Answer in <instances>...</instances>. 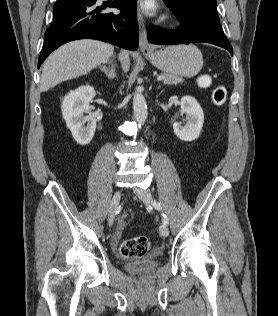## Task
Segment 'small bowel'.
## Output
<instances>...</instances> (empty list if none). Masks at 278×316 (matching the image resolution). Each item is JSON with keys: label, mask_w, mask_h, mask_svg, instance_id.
Here are the masks:
<instances>
[{"label": "small bowel", "mask_w": 278, "mask_h": 316, "mask_svg": "<svg viewBox=\"0 0 278 316\" xmlns=\"http://www.w3.org/2000/svg\"><path fill=\"white\" fill-rule=\"evenodd\" d=\"M127 216H125L124 218H123V220L121 221V227L123 226V224L126 222V220H127ZM119 235V232L117 233V236Z\"/></svg>", "instance_id": "small-bowel-1"}]
</instances>
